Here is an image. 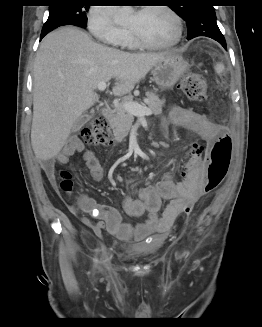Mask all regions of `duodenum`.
I'll use <instances>...</instances> for the list:
<instances>
[{
  "label": "duodenum",
  "mask_w": 262,
  "mask_h": 327,
  "mask_svg": "<svg viewBox=\"0 0 262 327\" xmlns=\"http://www.w3.org/2000/svg\"><path fill=\"white\" fill-rule=\"evenodd\" d=\"M102 113L106 118H112L114 116V110L111 107H104Z\"/></svg>",
  "instance_id": "obj_1"
}]
</instances>
